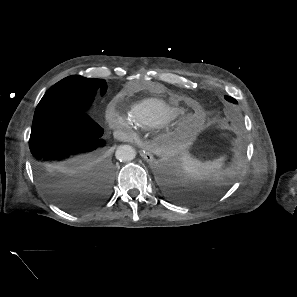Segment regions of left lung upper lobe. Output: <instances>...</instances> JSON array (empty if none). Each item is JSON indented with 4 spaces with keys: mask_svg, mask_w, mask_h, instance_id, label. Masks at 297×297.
I'll list each match as a JSON object with an SVG mask.
<instances>
[{
    "mask_svg": "<svg viewBox=\"0 0 297 297\" xmlns=\"http://www.w3.org/2000/svg\"><path fill=\"white\" fill-rule=\"evenodd\" d=\"M225 99H226L227 101H229V102L237 103V101H236L234 98H232V97L225 96Z\"/></svg>",
    "mask_w": 297,
    "mask_h": 297,
    "instance_id": "5c2ea615",
    "label": "left lung upper lobe"
}]
</instances>
